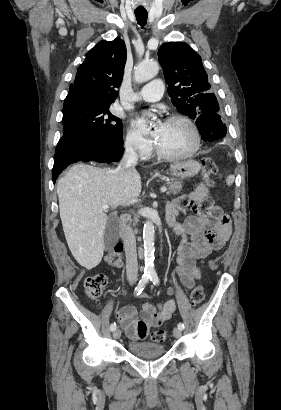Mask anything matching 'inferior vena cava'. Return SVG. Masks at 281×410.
<instances>
[{"label":"inferior vena cava","mask_w":281,"mask_h":410,"mask_svg":"<svg viewBox=\"0 0 281 410\" xmlns=\"http://www.w3.org/2000/svg\"><path fill=\"white\" fill-rule=\"evenodd\" d=\"M138 162V155L135 152V149L132 144L125 145L124 155L115 170L116 173L123 177L127 171L134 169V166ZM124 250L126 255V275L129 280L138 279V262H137V253H136V239L135 234L130 227L126 226L123 236Z\"/></svg>","instance_id":"inferior-vena-cava-1"}]
</instances>
